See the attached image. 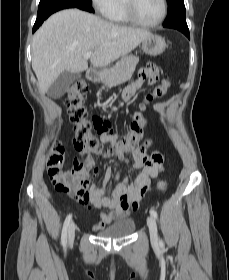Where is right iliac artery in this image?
<instances>
[{"label":"right iliac artery","instance_id":"obj_1","mask_svg":"<svg viewBox=\"0 0 229 280\" xmlns=\"http://www.w3.org/2000/svg\"><path fill=\"white\" fill-rule=\"evenodd\" d=\"M71 218H72V215L69 214L66 217L65 222L63 224V229H62V234H61V242H62V245L64 247H66V244H67V231H68V227H69Z\"/></svg>","mask_w":229,"mask_h":280}]
</instances>
